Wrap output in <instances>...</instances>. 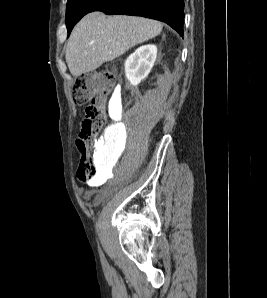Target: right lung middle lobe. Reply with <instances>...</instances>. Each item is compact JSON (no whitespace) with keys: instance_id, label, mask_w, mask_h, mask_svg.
I'll return each instance as SVG.
<instances>
[{"instance_id":"dd1d6c3e","label":"right lung middle lobe","mask_w":267,"mask_h":298,"mask_svg":"<svg viewBox=\"0 0 267 298\" xmlns=\"http://www.w3.org/2000/svg\"><path fill=\"white\" fill-rule=\"evenodd\" d=\"M98 0H68L66 7V26L68 34L74 25L91 11Z\"/></svg>"}]
</instances>
